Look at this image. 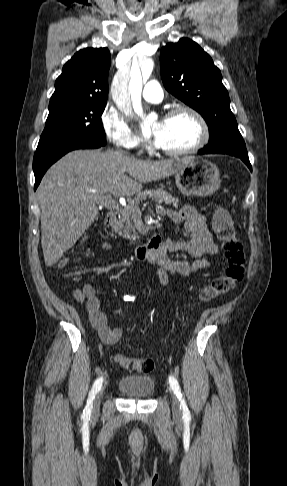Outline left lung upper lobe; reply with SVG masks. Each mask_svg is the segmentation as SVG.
Returning <instances> with one entry per match:
<instances>
[{
    "mask_svg": "<svg viewBox=\"0 0 287 486\" xmlns=\"http://www.w3.org/2000/svg\"><path fill=\"white\" fill-rule=\"evenodd\" d=\"M160 62L166 90L199 112L208 125L209 143L200 151L248 156L221 72L211 57L196 42L182 38L162 47Z\"/></svg>",
    "mask_w": 287,
    "mask_h": 486,
    "instance_id": "left-lung-upper-lobe-1",
    "label": "left lung upper lobe"
}]
</instances>
